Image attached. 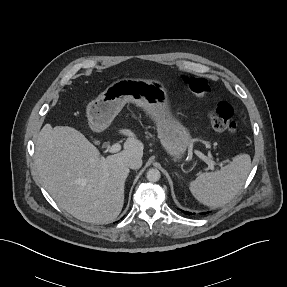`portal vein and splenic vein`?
<instances>
[{"label":"portal vein and splenic vein","mask_w":287,"mask_h":287,"mask_svg":"<svg viewBox=\"0 0 287 287\" xmlns=\"http://www.w3.org/2000/svg\"><path fill=\"white\" fill-rule=\"evenodd\" d=\"M120 150H121V145L119 143H115L108 148V152L110 153H117ZM194 152L199 158H201L204 162L208 164L210 170H214L215 161L212 158L207 157L206 155H204L202 152L198 150H195ZM220 166H222V163L220 164Z\"/></svg>","instance_id":"1"}]
</instances>
